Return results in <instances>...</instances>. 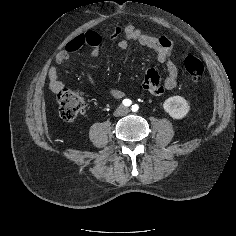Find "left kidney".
Wrapping results in <instances>:
<instances>
[{
	"label": "left kidney",
	"instance_id": "5707ae66",
	"mask_svg": "<svg viewBox=\"0 0 236 236\" xmlns=\"http://www.w3.org/2000/svg\"><path fill=\"white\" fill-rule=\"evenodd\" d=\"M163 108L172 118L182 119L188 114L190 105L185 98L172 96L165 100Z\"/></svg>",
	"mask_w": 236,
	"mask_h": 236
}]
</instances>
